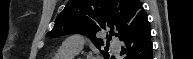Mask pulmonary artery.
<instances>
[{
    "label": "pulmonary artery",
    "instance_id": "obj_1",
    "mask_svg": "<svg viewBox=\"0 0 193 59\" xmlns=\"http://www.w3.org/2000/svg\"><path fill=\"white\" fill-rule=\"evenodd\" d=\"M117 46H121V42L115 43ZM62 48L65 50L72 51L74 53H78L82 48V43L78 41L77 36H70L66 39V41L63 43Z\"/></svg>",
    "mask_w": 193,
    "mask_h": 59
}]
</instances>
